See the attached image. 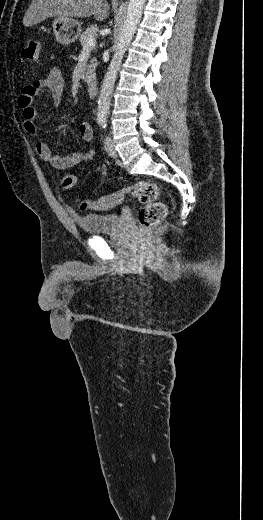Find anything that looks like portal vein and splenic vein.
<instances>
[{"label":"portal vein and splenic vein","instance_id":"obj_1","mask_svg":"<svg viewBox=\"0 0 263 520\" xmlns=\"http://www.w3.org/2000/svg\"><path fill=\"white\" fill-rule=\"evenodd\" d=\"M95 43H96L95 38H90L89 41L87 42L86 47H84V49L89 48V47H90V48H91V47H94V46H95Z\"/></svg>","mask_w":263,"mask_h":520}]
</instances>
